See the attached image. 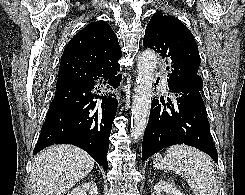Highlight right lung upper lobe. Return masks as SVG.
I'll use <instances>...</instances> for the list:
<instances>
[{
	"label": "right lung upper lobe",
	"instance_id": "right-lung-upper-lobe-1",
	"mask_svg": "<svg viewBox=\"0 0 245 195\" xmlns=\"http://www.w3.org/2000/svg\"><path fill=\"white\" fill-rule=\"evenodd\" d=\"M121 56L117 36L110 25L105 21L91 22L66 46L56 89L91 81L99 70L106 72L109 77L117 75Z\"/></svg>",
	"mask_w": 245,
	"mask_h": 195
}]
</instances>
